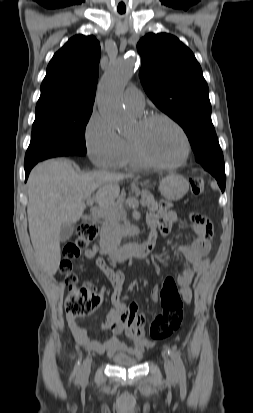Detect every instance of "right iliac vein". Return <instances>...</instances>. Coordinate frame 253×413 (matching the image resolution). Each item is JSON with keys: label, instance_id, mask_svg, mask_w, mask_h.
<instances>
[{"label": "right iliac vein", "instance_id": "obj_1", "mask_svg": "<svg viewBox=\"0 0 253 413\" xmlns=\"http://www.w3.org/2000/svg\"><path fill=\"white\" fill-rule=\"evenodd\" d=\"M90 367H91V360L89 358H87L84 361V363H83V365H82V367H81V369L79 370V373H78V379L80 381H85L88 378L89 373H90Z\"/></svg>", "mask_w": 253, "mask_h": 413}]
</instances>
